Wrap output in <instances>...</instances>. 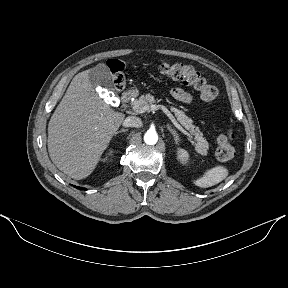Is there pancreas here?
<instances>
[{"instance_id":"obj_1","label":"pancreas","mask_w":288,"mask_h":288,"mask_svg":"<svg viewBox=\"0 0 288 288\" xmlns=\"http://www.w3.org/2000/svg\"><path fill=\"white\" fill-rule=\"evenodd\" d=\"M159 101V100H158ZM155 97L151 94L141 95L138 99L132 102V105L139 107L149 106L155 103ZM171 111L175 114L177 120L184 126L190 133L195 135V150L201 155H207L209 144L203 137L198 127L193 125V120L190 119L182 110L171 107Z\"/></svg>"}]
</instances>
